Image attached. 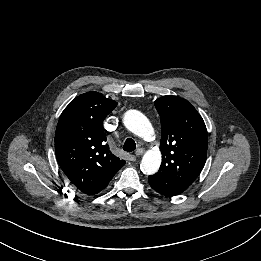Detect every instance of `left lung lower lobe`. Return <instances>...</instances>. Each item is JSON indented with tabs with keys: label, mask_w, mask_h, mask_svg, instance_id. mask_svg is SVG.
Masks as SVG:
<instances>
[{
	"label": "left lung lower lobe",
	"mask_w": 261,
	"mask_h": 261,
	"mask_svg": "<svg viewBox=\"0 0 261 261\" xmlns=\"http://www.w3.org/2000/svg\"><path fill=\"white\" fill-rule=\"evenodd\" d=\"M149 184L156 192H158L162 195H165V196H169V195L165 194L161 189H159L155 184H153V183H149Z\"/></svg>",
	"instance_id": "obj_1"
}]
</instances>
